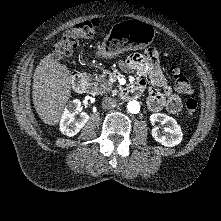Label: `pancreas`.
I'll return each mask as SVG.
<instances>
[{"label": "pancreas", "mask_w": 221, "mask_h": 221, "mask_svg": "<svg viewBox=\"0 0 221 221\" xmlns=\"http://www.w3.org/2000/svg\"><path fill=\"white\" fill-rule=\"evenodd\" d=\"M107 71H103L102 74L96 75L95 77L91 74L88 75L89 79H93L96 82L93 83V89L96 94H102L112 91L113 84L106 79Z\"/></svg>", "instance_id": "1"}]
</instances>
